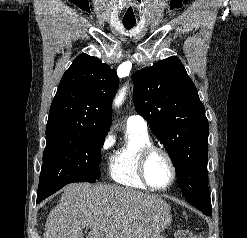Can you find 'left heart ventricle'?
Segmentation results:
<instances>
[{
  "mask_svg": "<svg viewBox=\"0 0 247 238\" xmlns=\"http://www.w3.org/2000/svg\"><path fill=\"white\" fill-rule=\"evenodd\" d=\"M146 172L151 184L157 187L167 185L172 176L167 159L160 153H154L150 156L147 162Z\"/></svg>",
  "mask_w": 247,
  "mask_h": 238,
  "instance_id": "left-heart-ventricle-1",
  "label": "left heart ventricle"
}]
</instances>
